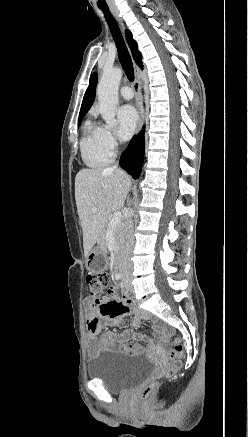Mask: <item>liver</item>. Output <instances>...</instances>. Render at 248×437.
Returning a JSON list of instances; mask_svg holds the SVG:
<instances>
[{
    "mask_svg": "<svg viewBox=\"0 0 248 437\" xmlns=\"http://www.w3.org/2000/svg\"><path fill=\"white\" fill-rule=\"evenodd\" d=\"M130 186V176L120 169L85 168L77 173L75 200L85 256L103 234L110 213L123 208Z\"/></svg>",
    "mask_w": 248,
    "mask_h": 437,
    "instance_id": "obj_1",
    "label": "liver"
}]
</instances>
